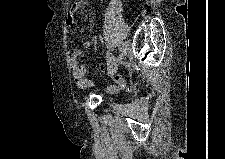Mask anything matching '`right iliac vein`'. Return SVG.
<instances>
[{
	"label": "right iliac vein",
	"mask_w": 225,
	"mask_h": 159,
	"mask_svg": "<svg viewBox=\"0 0 225 159\" xmlns=\"http://www.w3.org/2000/svg\"><path fill=\"white\" fill-rule=\"evenodd\" d=\"M122 49H121V53L118 57V60H117V63L112 66L110 72H113V71H116L118 65L122 62V60L125 58L126 54H127V49H128V44L127 42H124L122 45H121Z\"/></svg>",
	"instance_id": "obj_1"
}]
</instances>
